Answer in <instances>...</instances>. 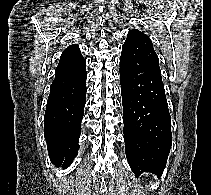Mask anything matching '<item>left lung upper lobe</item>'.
Here are the masks:
<instances>
[{"instance_id":"obj_1","label":"left lung upper lobe","mask_w":211,"mask_h":195,"mask_svg":"<svg viewBox=\"0 0 211 195\" xmlns=\"http://www.w3.org/2000/svg\"><path fill=\"white\" fill-rule=\"evenodd\" d=\"M121 55L134 64H145L161 75L159 59L151 39L138 29L128 32Z\"/></svg>"}]
</instances>
